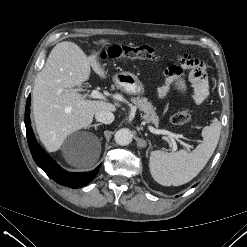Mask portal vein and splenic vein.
<instances>
[{
	"label": "portal vein and splenic vein",
	"mask_w": 247,
	"mask_h": 247,
	"mask_svg": "<svg viewBox=\"0 0 247 247\" xmlns=\"http://www.w3.org/2000/svg\"><path fill=\"white\" fill-rule=\"evenodd\" d=\"M90 98H96V99H102V100H105V96L100 93L98 90H92L91 93L89 95H86ZM148 129L150 132L154 133V134H162V135H167L170 140L172 141V144H173V148L172 150L173 151H176L177 149V146H176V142L174 139L178 140V138H180L181 136L178 135V134H174L170 131H167V130H162V129H155L153 126H148ZM185 146L189 149V148H193L191 145H188V144H185Z\"/></svg>",
	"instance_id": "obj_1"
}]
</instances>
